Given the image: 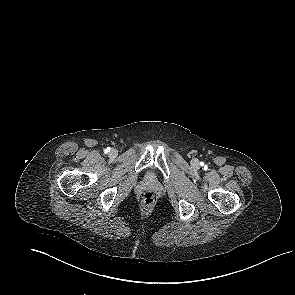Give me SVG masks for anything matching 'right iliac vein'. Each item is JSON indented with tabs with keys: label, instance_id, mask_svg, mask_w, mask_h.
I'll return each instance as SVG.
<instances>
[{
	"label": "right iliac vein",
	"instance_id": "obj_1",
	"mask_svg": "<svg viewBox=\"0 0 295 295\" xmlns=\"http://www.w3.org/2000/svg\"><path fill=\"white\" fill-rule=\"evenodd\" d=\"M118 155V151L116 149H112L109 153L111 158H115Z\"/></svg>",
	"mask_w": 295,
	"mask_h": 295
}]
</instances>
